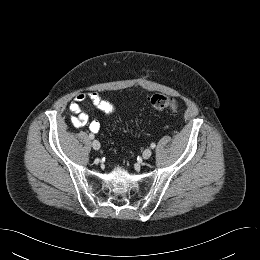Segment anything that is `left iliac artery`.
<instances>
[{"label":"left iliac artery","mask_w":260,"mask_h":260,"mask_svg":"<svg viewBox=\"0 0 260 260\" xmlns=\"http://www.w3.org/2000/svg\"><path fill=\"white\" fill-rule=\"evenodd\" d=\"M150 147H151L152 149H154V148L156 147V144H155V143H152V144L150 145Z\"/></svg>","instance_id":"44dca946"}]
</instances>
